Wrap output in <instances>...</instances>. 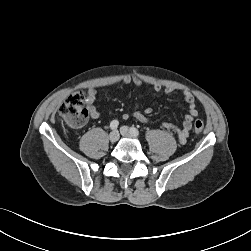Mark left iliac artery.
Masks as SVG:
<instances>
[{"instance_id": "obj_1", "label": "left iliac artery", "mask_w": 251, "mask_h": 251, "mask_svg": "<svg viewBox=\"0 0 251 251\" xmlns=\"http://www.w3.org/2000/svg\"><path fill=\"white\" fill-rule=\"evenodd\" d=\"M130 131L133 133V134H135V135H139V131H138V129H136L135 127H131L130 128Z\"/></svg>"}]
</instances>
